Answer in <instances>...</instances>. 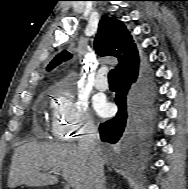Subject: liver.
<instances>
[{
  "label": "liver",
  "instance_id": "1",
  "mask_svg": "<svg viewBox=\"0 0 188 189\" xmlns=\"http://www.w3.org/2000/svg\"><path fill=\"white\" fill-rule=\"evenodd\" d=\"M89 169L88 158L74 144L30 141L15 149L8 186L54 185L58 177L51 171H55L74 189H86Z\"/></svg>",
  "mask_w": 188,
  "mask_h": 189
}]
</instances>
